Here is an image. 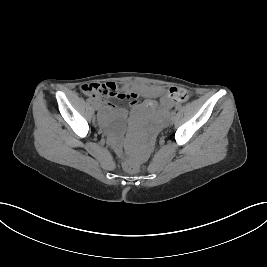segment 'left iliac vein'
<instances>
[{"label":"left iliac vein","mask_w":267,"mask_h":267,"mask_svg":"<svg viewBox=\"0 0 267 267\" xmlns=\"http://www.w3.org/2000/svg\"><path fill=\"white\" fill-rule=\"evenodd\" d=\"M172 121V117L170 118V120L168 121V123H170Z\"/></svg>","instance_id":"obj_1"}]
</instances>
